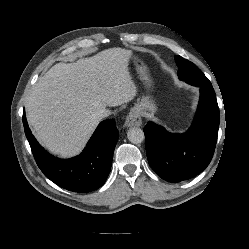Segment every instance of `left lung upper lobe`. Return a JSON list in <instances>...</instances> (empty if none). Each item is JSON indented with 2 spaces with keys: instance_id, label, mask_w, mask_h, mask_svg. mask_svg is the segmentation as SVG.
<instances>
[{
  "instance_id": "left-lung-upper-lobe-1",
  "label": "left lung upper lobe",
  "mask_w": 249,
  "mask_h": 249,
  "mask_svg": "<svg viewBox=\"0 0 249 249\" xmlns=\"http://www.w3.org/2000/svg\"><path fill=\"white\" fill-rule=\"evenodd\" d=\"M175 61L179 68L178 77L180 80H184L191 85H197L194 81L202 77L206 78V76L199 70V68L189 60L184 59L181 56H176ZM208 83H210L209 80ZM207 87H212L211 83L210 86Z\"/></svg>"
}]
</instances>
